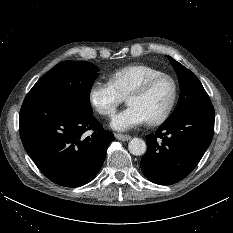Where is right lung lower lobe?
Masks as SVG:
<instances>
[{"label":"right lung lower lobe","instance_id":"obj_1","mask_svg":"<svg viewBox=\"0 0 233 233\" xmlns=\"http://www.w3.org/2000/svg\"><path fill=\"white\" fill-rule=\"evenodd\" d=\"M19 127L23 146L36 166L52 182L65 187L90 182L114 139L92 115L62 98L26 96ZM88 130L93 133L86 137Z\"/></svg>","mask_w":233,"mask_h":233}]
</instances>
